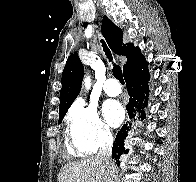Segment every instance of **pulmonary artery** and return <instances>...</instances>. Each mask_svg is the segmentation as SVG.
Segmentation results:
<instances>
[{
  "instance_id": "e3ab8cb5",
  "label": "pulmonary artery",
  "mask_w": 196,
  "mask_h": 182,
  "mask_svg": "<svg viewBox=\"0 0 196 182\" xmlns=\"http://www.w3.org/2000/svg\"><path fill=\"white\" fill-rule=\"evenodd\" d=\"M103 89L104 92L109 96H118L121 93V86L119 82L113 77L106 79Z\"/></svg>"
}]
</instances>
